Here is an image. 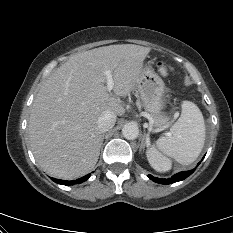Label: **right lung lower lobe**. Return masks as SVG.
Masks as SVG:
<instances>
[{
	"label": "right lung lower lobe",
	"instance_id": "1",
	"mask_svg": "<svg viewBox=\"0 0 233 233\" xmlns=\"http://www.w3.org/2000/svg\"><path fill=\"white\" fill-rule=\"evenodd\" d=\"M90 177V174L84 176V177H81L79 179H77L76 181H65V180H59V179H55V178H51L54 182L58 183V184H62V185H74L75 183L76 184H79V183H82L84 181H86L88 178Z\"/></svg>",
	"mask_w": 233,
	"mask_h": 233
}]
</instances>
